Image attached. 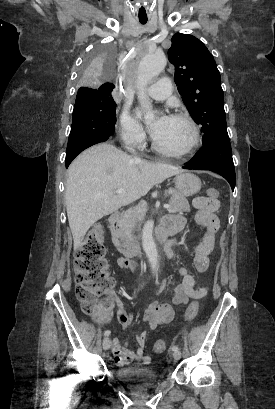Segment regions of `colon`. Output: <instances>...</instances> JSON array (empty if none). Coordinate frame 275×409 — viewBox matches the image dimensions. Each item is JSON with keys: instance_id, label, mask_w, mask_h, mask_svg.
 <instances>
[{"instance_id": "obj_1", "label": "colon", "mask_w": 275, "mask_h": 409, "mask_svg": "<svg viewBox=\"0 0 275 409\" xmlns=\"http://www.w3.org/2000/svg\"><path fill=\"white\" fill-rule=\"evenodd\" d=\"M218 190L209 189L210 199L218 197ZM104 228L96 223L85 236L81 247L77 250L75 260V294L81 304L84 314L96 322H104L110 312L120 306L119 300L111 292L115 281L108 274V260L105 257ZM199 311L198 301H193L185 313L186 321L196 318ZM165 341L156 342L153 350H166Z\"/></svg>"}]
</instances>
